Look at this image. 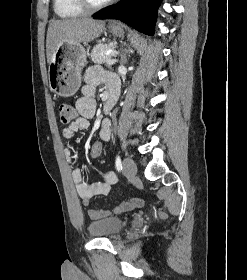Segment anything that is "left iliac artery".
Here are the masks:
<instances>
[{
	"instance_id": "44dca946",
	"label": "left iliac artery",
	"mask_w": 247,
	"mask_h": 280,
	"mask_svg": "<svg viewBox=\"0 0 247 280\" xmlns=\"http://www.w3.org/2000/svg\"><path fill=\"white\" fill-rule=\"evenodd\" d=\"M115 166L118 171L122 170V163H121L120 156H116Z\"/></svg>"
}]
</instances>
